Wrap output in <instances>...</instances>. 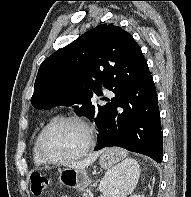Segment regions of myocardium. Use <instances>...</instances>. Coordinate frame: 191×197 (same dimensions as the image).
<instances>
[{"label":"myocardium","instance_id":"obj_1","mask_svg":"<svg viewBox=\"0 0 191 197\" xmlns=\"http://www.w3.org/2000/svg\"><path fill=\"white\" fill-rule=\"evenodd\" d=\"M66 121H73V122H77V123L81 124L87 132L88 141H87V144L84 147V149L81 150L79 153H77L73 156H70V157H66V158H54L46 152V150L44 148V138H45L47 132L53 126H55L61 122H66ZM94 146H95V132H94L93 126L84 118H82L78 115H74V114L61 115V116L55 117L54 119L49 121L42 128V130L40 131V133L38 135V139H37V149H38L40 157L45 162L50 163V164H65V163H69V162L78 160V159L84 157L85 155H87L92 150V148Z\"/></svg>","mask_w":191,"mask_h":197}]
</instances>
